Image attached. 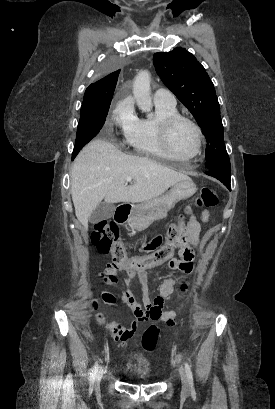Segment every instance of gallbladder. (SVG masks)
<instances>
[{"instance_id":"1","label":"gallbladder","mask_w":275,"mask_h":409,"mask_svg":"<svg viewBox=\"0 0 275 409\" xmlns=\"http://www.w3.org/2000/svg\"><path fill=\"white\" fill-rule=\"evenodd\" d=\"M113 213H115V205H113V202H100L97 209L91 213L88 221L96 225V223H100V221L111 219Z\"/></svg>"}]
</instances>
